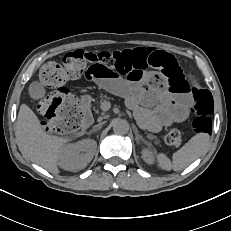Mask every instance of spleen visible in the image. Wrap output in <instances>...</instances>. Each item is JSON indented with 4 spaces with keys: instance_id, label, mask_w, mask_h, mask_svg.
I'll list each match as a JSON object with an SVG mask.
<instances>
[{
    "instance_id": "3e777b00",
    "label": "spleen",
    "mask_w": 231,
    "mask_h": 231,
    "mask_svg": "<svg viewBox=\"0 0 231 231\" xmlns=\"http://www.w3.org/2000/svg\"><path fill=\"white\" fill-rule=\"evenodd\" d=\"M209 135L198 133L173 154L172 161L164 154L156 155L157 166L163 170H182L199 158L208 145Z\"/></svg>"
}]
</instances>
